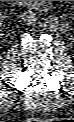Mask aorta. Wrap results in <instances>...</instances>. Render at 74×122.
Listing matches in <instances>:
<instances>
[{
    "label": "aorta",
    "mask_w": 74,
    "mask_h": 122,
    "mask_svg": "<svg viewBox=\"0 0 74 122\" xmlns=\"http://www.w3.org/2000/svg\"><path fill=\"white\" fill-rule=\"evenodd\" d=\"M45 23H46L47 28L51 31L56 30L58 27V20H57V17H55V16L47 17Z\"/></svg>",
    "instance_id": "1"
}]
</instances>
